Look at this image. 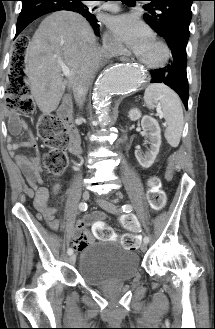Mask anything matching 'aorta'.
<instances>
[{"label": "aorta", "instance_id": "1", "mask_svg": "<svg viewBox=\"0 0 215 329\" xmlns=\"http://www.w3.org/2000/svg\"><path fill=\"white\" fill-rule=\"evenodd\" d=\"M144 79V72L137 65L113 64L106 68L93 90V102L99 121L103 124L109 122L108 105L114 94L133 92L142 85Z\"/></svg>", "mask_w": 215, "mask_h": 329}]
</instances>
